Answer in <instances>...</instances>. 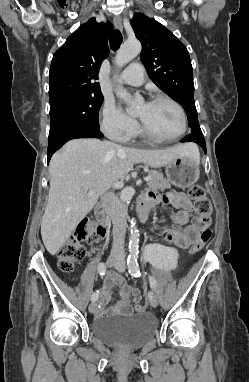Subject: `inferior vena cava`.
Segmentation results:
<instances>
[{
  "mask_svg": "<svg viewBox=\"0 0 249 382\" xmlns=\"http://www.w3.org/2000/svg\"><path fill=\"white\" fill-rule=\"evenodd\" d=\"M101 203L106 214L111 218L113 223L111 256L124 260L126 209L112 191L104 192L102 194Z\"/></svg>",
  "mask_w": 249,
  "mask_h": 382,
  "instance_id": "602c4592",
  "label": "inferior vena cava"
}]
</instances>
